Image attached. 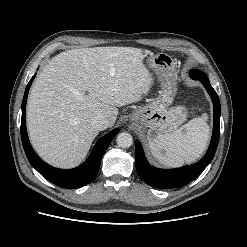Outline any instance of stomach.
<instances>
[{
  "instance_id": "1",
  "label": "stomach",
  "mask_w": 247,
  "mask_h": 247,
  "mask_svg": "<svg viewBox=\"0 0 247 247\" xmlns=\"http://www.w3.org/2000/svg\"><path fill=\"white\" fill-rule=\"evenodd\" d=\"M148 63L162 74V89L157 98L131 113L129 120L143 131L149 128V140L158 133L167 134L177 129L186 120V111L181 106H170L177 90L172 57L166 53H158L151 55Z\"/></svg>"
}]
</instances>
